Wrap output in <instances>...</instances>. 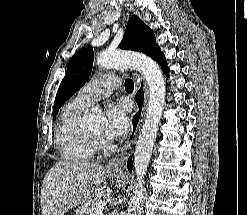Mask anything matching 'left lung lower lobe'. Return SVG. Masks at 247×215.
<instances>
[{
	"label": "left lung lower lobe",
	"mask_w": 247,
	"mask_h": 215,
	"mask_svg": "<svg viewBox=\"0 0 247 215\" xmlns=\"http://www.w3.org/2000/svg\"><path fill=\"white\" fill-rule=\"evenodd\" d=\"M157 63H159L166 74H168V67L166 64L165 56L161 52L160 47L151 56Z\"/></svg>",
	"instance_id": "obj_1"
}]
</instances>
